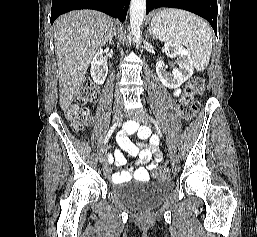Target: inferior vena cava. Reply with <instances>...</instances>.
I'll list each match as a JSON object with an SVG mask.
<instances>
[{
  "mask_svg": "<svg viewBox=\"0 0 257 237\" xmlns=\"http://www.w3.org/2000/svg\"><path fill=\"white\" fill-rule=\"evenodd\" d=\"M115 98H116L117 101L121 99L118 94L115 95Z\"/></svg>",
  "mask_w": 257,
  "mask_h": 237,
  "instance_id": "inferior-vena-cava-1",
  "label": "inferior vena cava"
}]
</instances>
